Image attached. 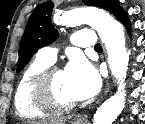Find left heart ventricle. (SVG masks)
Masks as SVG:
<instances>
[{"instance_id": "obj_1", "label": "left heart ventricle", "mask_w": 145, "mask_h": 124, "mask_svg": "<svg viewBox=\"0 0 145 124\" xmlns=\"http://www.w3.org/2000/svg\"><path fill=\"white\" fill-rule=\"evenodd\" d=\"M52 84L55 96L58 100L64 103L76 101L70 91L69 85L65 77V72L63 70L57 71L54 74Z\"/></svg>"}]
</instances>
